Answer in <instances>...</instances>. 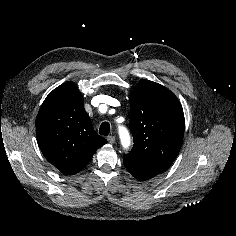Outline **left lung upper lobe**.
Listing matches in <instances>:
<instances>
[{
	"label": "left lung upper lobe",
	"mask_w": 236,
	"mask_h": 236,
	"mask_svg": "<svg viewBox=\"0 0 236 236\" xmlns=\"http://www.w3.org/2000/svg\"><path fill=\"white\" fill-rule=\"evenodd\" d=\"M130 154L170 166L178 155L185 130L183 109L166 87L142 79L131 95Z\"/></svg>",
	"instance_id": "5c2ea615"
}]
</instances>
